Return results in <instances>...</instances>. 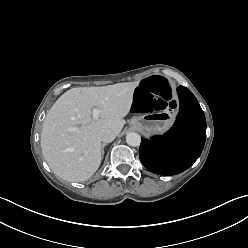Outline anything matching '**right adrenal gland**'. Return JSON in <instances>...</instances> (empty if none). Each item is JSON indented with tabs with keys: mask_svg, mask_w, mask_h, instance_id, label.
<instances>
[{
	"mask_svg": "<svg viewBox=\"0 0 248 248\" xmlns=\"http://www.w3.org/2000/svg\"><path fill=\"white\" fill-rule=\"evenodd\" d=\"M107 145V143H104V144H102V146H101V154H102V157H103V155H104V147Z\"/></svg>",
	"mask_w": 248,
	"mask_h": 248,
	"instance_id": "right-adrenal-gland-1",
	"label": "right adrenal gland"
}]
</instances>
